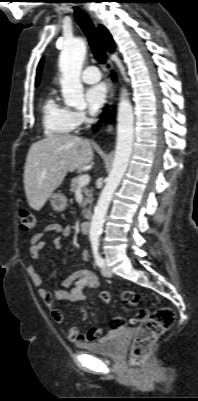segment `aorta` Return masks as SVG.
Here are the masks:
<instances>
[{"label":"aorta","mask_w":198,"mask_h":401,"mask_svg":"<svg viewBox=\"0 0 198 401\" xmlns=\"http://www.w3.org/2000/svg\"><path fill=\"white\" fill-rule=\"evenodd\" d=\"M86 54V44L82 39L66 42L59 58L62 73L60 84L64 102L68 106L80 107L85 104L83 86L80 81L82 64ZM134 141V114L126 89L122 90L118 106L117 143L112 169L99 196L91 220L89 238L98 241L102 232L114 192L117 190L132 153Z\"/></svg>","instance_id":"762f6f07"}]
</instances>
